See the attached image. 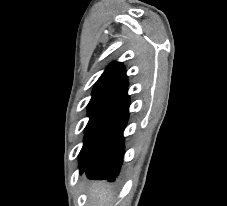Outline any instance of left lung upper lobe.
Wrapping results in <instances>:
<instances>
[{
	"label": "left lung upper lobe",
	"instance_id": "left-lung-upper-lobe-1",
	"mask_svg": "<svg viewBox=\"0 0 227 206\" xmlns=\"http://www.w3.org/2000/svg\"><path fill=\"white\" fill-rule=\"evenodd\" d=\"M128 86L126 70L122 63L113 62L107 66L96 82L88 104L90 120L85 128L84 144L79 155L81 162L91 149L92 137L109 104Z\"/></svg>",
	"mask_w": 227,
	"mask_h": 206
}]
</instances>
